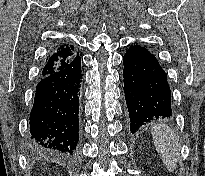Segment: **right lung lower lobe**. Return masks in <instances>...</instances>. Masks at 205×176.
<instances>
[{"label": "right lung lower lobe", "instance_id": "1", "mask_svg": "<svg viewBox=\"0 0 205 176\" xmlns=\"http://www.w3.org/2000/svg\"><path fill=\"white\" fill-rule=\"evenodd\" d=\"M79 54L41 77L30 113V147L37 152L75 154L79 141L82 81Z\"/></svg>", "mask_w": 205, "mask_h": 176}]
</instances>
